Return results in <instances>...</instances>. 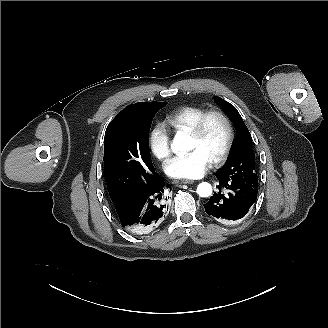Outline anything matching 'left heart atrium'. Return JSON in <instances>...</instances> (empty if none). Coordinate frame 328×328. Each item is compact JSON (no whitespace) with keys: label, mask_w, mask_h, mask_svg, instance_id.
<instances>
[{"label":"left heart atrium","mask_w":328,"mask_h":328,"mask_svg":"<svg viewBox=\"0 0 328 328\" xmlns=\"http://www.w3.org/2000/svg\"><path fill=\"white\" fill-rule=\"evenodd\" d=\"M211 166L212 160L196 149L169 159L164 164V170L171 177L191 180L204 176Z\"/></svg>","instance_id":"1"}]
</instances>
